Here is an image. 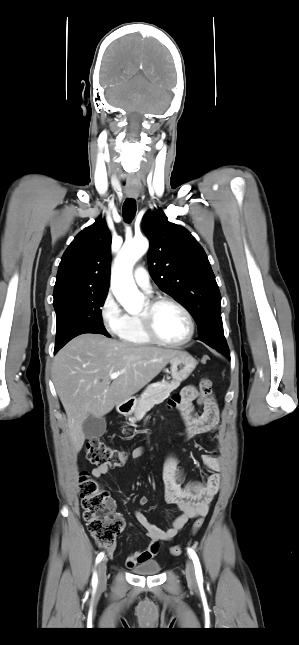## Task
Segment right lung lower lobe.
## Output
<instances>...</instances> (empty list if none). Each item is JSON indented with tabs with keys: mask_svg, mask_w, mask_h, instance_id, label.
Returning a JSON list of instances; mask_svg holds the SVG:
<instances>
[{
	"mask_svg": "<svg viewBox=\"0 0 299 645\" xmlns=\"http://www.w3.org/2000/svg\"><path fill=\"white\" fill-rule=\"evenodd\" d=\"M57 350H59V349H56V348H55V352H56Z\"/></svg>",
	"mask_w": 299,
	"mask_h": 645,
	"instance_id": "right-lung-lower-lobe-1",
	"label": "right lung lower lobe"
}]
</instances>
